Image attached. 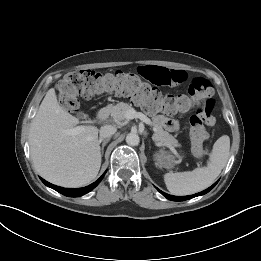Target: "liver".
Listing matches in <instances>:
<instances>
[{
  "label": "liver",
  "mask_w": 261,
  "mask_h": 261,
  "mask_svg": "<svg viewBox=\"0 0 261 261\" xmlns=\"http://www.w3.org/2000/svg\"><path fill=\"white\" fill-rule=\"evenodd\" d=\"M79 120L58 103L55 89L47 91L29 131L35 170L47 181L68 188L88 185L101 166L98 128L87 125L76 135L66 130Z\"/></svg>",
  "instance_id": "6515ba94"
}]
</instances>
